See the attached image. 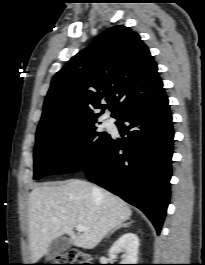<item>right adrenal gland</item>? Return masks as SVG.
Masks as SVG:
<instances>
[{"label": "right adrenal gland", "instance_id": "right-adrenal-gland-1", "mask_svg": "<svg viewBox=\"0 0 205 265\" xmlns=\"http://www.w3.org/2000/svg\"><path fill=\"white\" fill-rule=\"evenodd\" d=\"M131 224H132V222H128V223L121 224V225H119L118 227L114 228V229L110 232V234L114 233L116 230H119L120 228H127V227H129ZM110 234H109V235H110Z\"/></svg>", "mask_w": 205, "mask_h": 265}]
</instances>
